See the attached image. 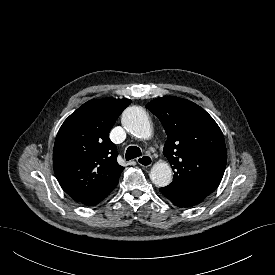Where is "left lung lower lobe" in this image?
<instances>
[{"instance_id": "left-lung-lower-lobe-1", "label": "left lung lower lobe", "mask_w": 275, "mask_h": 275, "mask_svg": "<svg viewBox=\"0 0 275 275\" xmlns=\"http://www.w3.org/2000/svg\"><path fill=\"white\" fill-rule=\"evenodd\" d=\"M161 193L179 207H191L204 200L208 194L196 189L171 190L160 188Z\"/></svg>"}]
</instances>
